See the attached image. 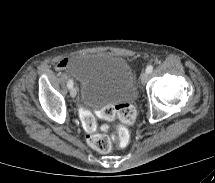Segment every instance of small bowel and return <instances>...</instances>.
Instances as JSON below:
<instances>
[{
    "label": "small bowel",
    "mask_w": 215,
    "mask_h": 183,
    "mask_svg": "<svg viewBox=\"0 0 215 183\" xmlns=\"http://www.w3.org/2000/svg\"><path fill=\"white\" fill-rule=\"evenodd\" d=\"M70 59L68 58H64L62 60H60L57 65H56V69L57 70H62L64 68H66L69 64H70Z\"/></svg>",
    "instance_id": "1"
}]
</instances>
